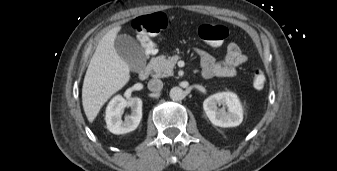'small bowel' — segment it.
Wrapping results in <instances>:
<instances>
[{"label":"small bowel","mask_w":337,"mask_h":171,"mask_svg":"<svg viewBox=\"0 0 337 171\" xmlns=\"http://www.w3.org/2000/svg\"><path fill=\"white\" fill-rule=\"evenodd\" d=\"M204 78L233 77L237 69L247 61V56L235 43H230L226 48L225 57L218 61L210 53L204 50L197 51Z\"/></svg>","instance_id":"1"}]
</instances>
